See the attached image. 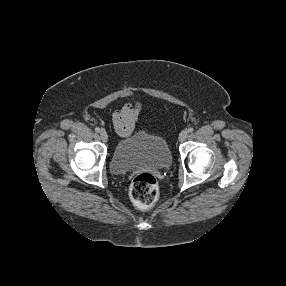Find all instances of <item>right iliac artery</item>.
<instances>
[{
  "label": "right iliac artery",
  "instance_id": "obj_1",
  "mask_svg": "<svg viewBox=\"0 0 286 286\" xmlns=\"http://www.w3.org/2000/svg\"><path fill=\"white\" fill-rule=\"evenodd\" d=\"M95 131H96L97 133H99V132H100V128H99V127H96V128H95Z\"/></svg>",
  "mask_w": 286,
  "mask_h": 286
}]
</instances>
